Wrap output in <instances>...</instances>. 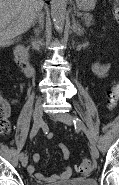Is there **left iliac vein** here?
Masks as SVG:
<instances>
[{
    "instance_id": "4c4485c4",
    "label": "left iliac vein",
    "mask_w": 119,
    "mask_h": 185,
    "mask_svg": "<svg viewBox=\"0 0 119 185\" xmlns=\"http://www.w3.org/2000/svg\"><path fill=\"white\" fill-rule=\"evenodd\" d=\"M52 117L58 121L64 122L67 125H70V126L73 125L74 118L69 113H59L56 115H52ZM90 150H91L92 158L98 159V157H99L98 149H97L96 145L92 142L90 143Z\"/></svg>"
}]
</instances>
